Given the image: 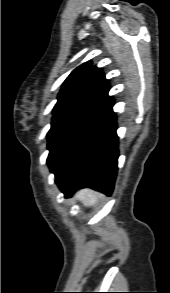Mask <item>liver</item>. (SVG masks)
Instances as JSON below:
<instances>
[{"label": "liver", "instance_id": "6515ba94", "mask_svg": "<svg viewBox=\"0 0 170 293\" xmlns=\"http://www.w3.org/2000/svg\"><path fill=\"white\" fill-rule=\"evenodd\" d=\"M100 195L96 192L84 189L77 194V199L86 207H91L97 204Z\"/></svg>", "mask_w": 170, "mask_h": 293}]
</instances>
